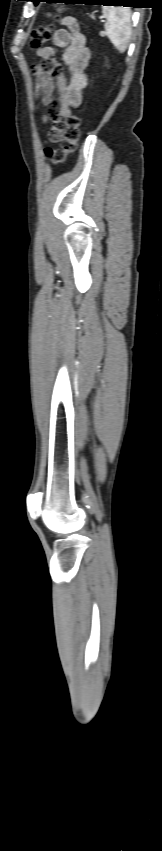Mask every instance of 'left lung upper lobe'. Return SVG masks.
I'll list each match as a JSON object with an SVG mask.
<instances>
[{"instance_id": "obj_1", "label": "left lung upper lobe", "mask_w": 162, "mask_h": 851, "mask_svg": "<svg viewBox=\"0 0 162 851\" xmlns=\"http://www.w3.org/2000/svg\"><path fill=\"white\" fill-rule=\"evenodd\" d=\"M30 1H33V2L36 4V1H37V0H30Z\"/></svg>"}]
</instances>
